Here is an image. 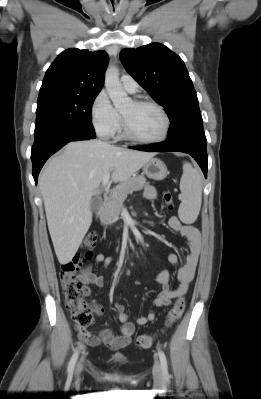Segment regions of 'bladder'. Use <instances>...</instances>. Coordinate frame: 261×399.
Wrapping results in <instances>:
<instances>
[{
  "label": "bladder",
  "mask_w": 261,
  "mask_h": 399,
  "mask_svg": "<svg viewBox=\"0 0 261 399\" xmlns=\"http://www.w3.org/2000/svg\"><path fill=\"white\" fill-rule=\"evenodd\" d=\"M111 361H112V362H115V363H122V362H123L122 359H119V358H117V357L111 358Z\"/></svg>",
  "instance_id": "1"
}]
</instances>
